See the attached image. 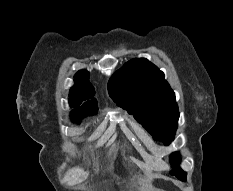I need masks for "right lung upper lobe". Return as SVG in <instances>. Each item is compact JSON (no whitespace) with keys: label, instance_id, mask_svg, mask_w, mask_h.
Returning <instances> with one entry per match:
<instances>
[{"label":"right lung upper lobe","instance_id":"cb5924a9","mask_svg":"<svg viewBox=\"0 0 233 191\" xmlns=\"http://www.w3.org/2000/svg\"><path fill=\"white\" fill-rule=\"evenodd\" d=\"M89 73L85 70L78 71L75 75V85L70 89L69 103L70 107H76L80 105L84 100L91 99V101L85 102L82 106L75 108L71 111L72 117H83L86 115L96 114L98 111L97 101L93 96L95 90L92 84L89 82Z\"/></svg>","mask_w":233,"mask_h":191}]
</instances>
